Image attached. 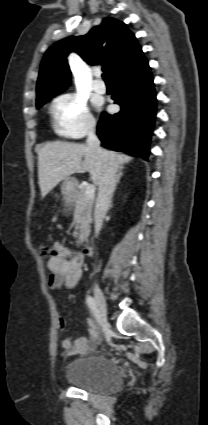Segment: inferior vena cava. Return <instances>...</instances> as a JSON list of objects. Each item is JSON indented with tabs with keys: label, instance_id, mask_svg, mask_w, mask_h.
<instances>
[{
	"label": "inferior vena cava",
	"instance_id": "1",
	"mask_svg": "<svg viewBox=\"0 0 208 425\" xmlns=\"http://www.w3.org/2000/svg\"><path fill=\"white\" fill-rule=\"evenodd\" d=\"M86 142L87 146L92 151L98 153L104 160V169L99 183V191L94 211L95 236H98L103 224V219L111 206V199L116 186L118 162L113 154L101 149L100 140L96 135L94 126L88 128Z\"/></svg>",
	"mask_w": 208,
	"mask_h": 425
}]
</instances>
